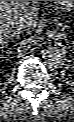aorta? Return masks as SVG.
I'll use <instances>...</instances> for the list:
<instances>
[{
	"label": "aorta",
	"mask_w": 74,
	"mask_h": 122,
	"mask_svg": "<svg viewBox=\"0 0 74 122\" xmlns=\"http://www.w3.org/2000/svg\"><path fill=\"white\" fill-rule=\"evenodd\" d=\"M41 59L49 68H59L64 62V54L59 48L47 45L41 51Z\"/></svg>",
	"instance_id": "762f6f07"
}]
</instances>
